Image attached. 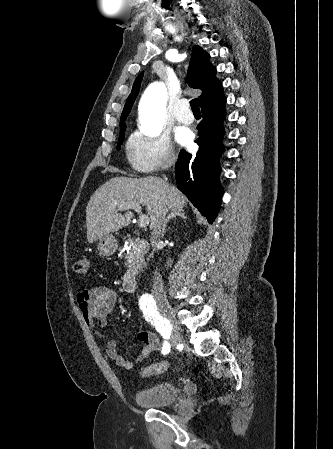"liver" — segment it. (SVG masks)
<instances>
[{
    "label": "liver",
    "instance_id": "liver-1",
    "mask_svg": "<svg viewBox=\"0 0 333 449\" xmlns=\"http://www.w3.org/2000/svg\"><path fill=\"white\" fill-rule=\"evenodd\" d=\"M186 197L174 186L164 188L163 180L156 177L133 179L114 177L100 186L91 196L86 208L87 240L93 243L110 232L127 226L132 212L124 215L118 208L128 202L146 207L150 228L154 226L156 214L162 206L169 210H180L186 205Z\"/></svg>",
    "mask_w": 333,
    "mask_h": 449
}]
</instances>
